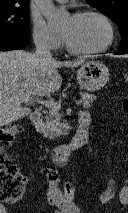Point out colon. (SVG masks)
I'll return each instance as SVG.
<instances>
[{"label":"colon","mask_w":128,"mask_h":213,"mask_svg":"<svg viewBox=\"0 0 128 213\" xmlns=\"http://www.w3.org/2000/svg\"><path fill=\"white\" fill-rule=\"evenodd\" d=\"M125 82L128 83V71L124 73ZM124 110L128 111V96L123 101ZM22 127L18 124H8L0 128V202L15 203L24 194L26 187V178L24 175L10 163L4 150L21 133ZM76 189L72 184H66L64 187V200L67 205L74 204ZM114 196V186L109 181L107 188L100 195L103 203L108 202ZM120 201L128 204V179L120 191Z\"/></svg>","instance_id":"obj_1"}]
</instances>
